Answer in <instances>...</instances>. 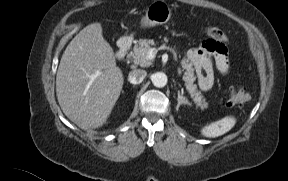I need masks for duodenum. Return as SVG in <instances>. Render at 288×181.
Masks as SVG:
<instances>
[{
  "label": "duodenum",
  "instance_id": "duodenum-1",
  "mask_svg": "<svg viewBox=\"0 0 288 181\" xmlns=\"http://www.w3.org/2000/svg\"><path fill=\"white\" fill-rule=\"evenodd\" d=\"M119 49L121 53V59L125 60L128 59L132 49V39L129 37H123L119 41Z\"/></svg>",
  "mask_w": 288,
  "mask_h": 181
}]
</instances>
